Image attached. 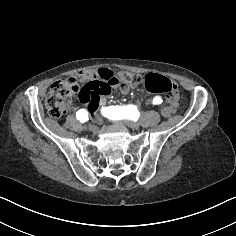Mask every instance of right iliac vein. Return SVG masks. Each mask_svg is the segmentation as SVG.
Masks as SVG:
<instances>
[{
	"label": "right iliac vein",
	"instance_id": "obj_1",
	"mask_svg": "<svg viewBox=\"0 0 236 236\" xmlns=\"http://www.w3.org/2000/svg\"><path fill=\"white\" fill-rule=\"evenodd\" d=\"M94 129H95V125H92V124L89 125V130H92V131H93Z\"/></svg>",
	"mask_w": 236,
	"mask_h": 236
}]
</instances>
